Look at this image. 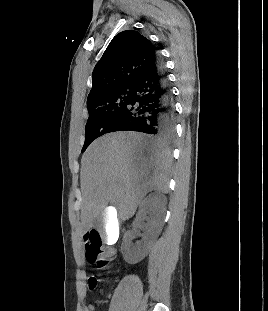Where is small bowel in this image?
I'll list each match as a JSON object with an SVG mask.
<instances>
[{"label": "small bowel", "mask_w": 268, "mask_h": 311, "mask_svg": "<svg viewBox=\"0 0 268 311\" xmlns=\"http://www.w3.org/2000/svg\"><path fill=\"white\" fill-rule=\"evenodd\" d=\"M93 310H94V307L91 304L85 305L84 307V311H93Z\"/></svg>", "instance_id": "c3829d8e"}]
</instances>
